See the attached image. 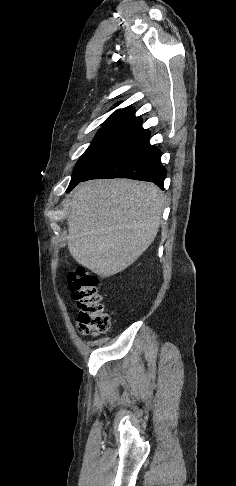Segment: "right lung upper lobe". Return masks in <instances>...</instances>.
Instances as JSON below:
<instances>
[{"label": "right lung upper lobe", "mask_w": 236, "mask_h": 486, "mask_svg": "<svg viewBox=\"0 0 236 486\" xmlns=\"http://www.w3.org/2000/svg\"><path fill=\"white\" fill-rule=\"evenodd\" d=\"M142 119L135 117V111L132 107H126L115 111L103 124L102 128L116 126H141Z\"/></svg>", "instance_id": "obj_1"}]
</instances>
